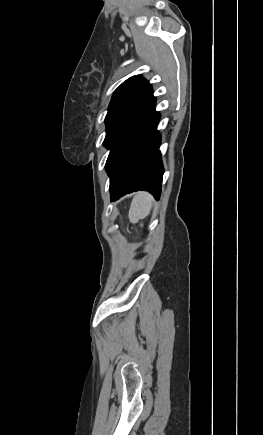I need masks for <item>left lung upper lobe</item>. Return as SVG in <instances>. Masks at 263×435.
<instances>
[{"label": "left lung upper lobe", "mask_w": 263, "mask_h": 435, "mask_svg": "<svg viewBox=\"0 0 263 435\" xmlns=\"http://www.w3.org/2000/svg\"><path fill=\"white\" fill-rule=\"evenodd\" d=\"M155 100L151 85L142 76L124 81L115 90L108 108L104 145L111 148L124 129Z\"/></svg>", "instance_id": "5c2ea615"}]
</instances>
